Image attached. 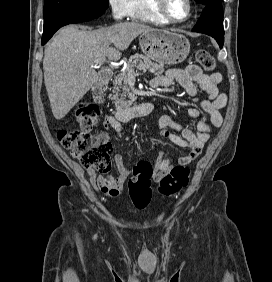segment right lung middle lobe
Segmentation results:
<instances>
[{"label":"right lung middle lobe","instance_id":"obj_1","mask_svg":"<svg viewBox=\"0 0 272 282\" xmlns=\"http://www.w3.org/2000/svg\"><path fill=\"white\" fill-rule=\"evenodd\" d=\"M108 8V0H45L44 19L61 12L78 9H101Z\"/></svg>","mask_w":272,"mask_h":282}]
</instances>
